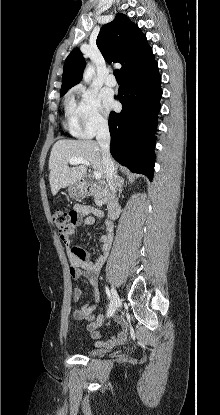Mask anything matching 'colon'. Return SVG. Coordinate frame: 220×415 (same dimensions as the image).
Wrapping results in <instances>:
<instances>
[{
  "label": "colon",
  "instance_id": "obj_1",
  "mask_svg": "<svg viewBox=\"0 0 220 415\" xmlns=\"http://www.w3.org/2000/svg\"><path fill=\"white\" fill-rule=\"evenodd\" d=\"M74 219L75 215L66 210H56L53 212V222L56 225L59 233L66 231Z\"/></svg>",
  "mask_w": 220,
  "mask_h": 415
}]
</instances>
